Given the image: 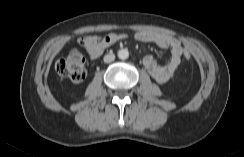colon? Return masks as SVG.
<instances>
[{"label": "colon", "instance_id": "obj_1", "mask_svg": "<svg viewBox=\"0 0 244 157\" xmlns=\"http://www.w3.org/2000/svg\"><path fill=\"white\" fill-rule=\"evenodd\" d=\"M116 39V36L113 34H109L105 37L95 36V40L101 46H110ZM182 55L187 61L191 59V53L188 49H184ZM56 71L60 76L68 78L73 82L83 81L86 77V68L85 58L82 52L78 48H71L65 57L57 61Z\"/></svg>", "mask_w": 244, "mask_h": 157}]
</instances>
